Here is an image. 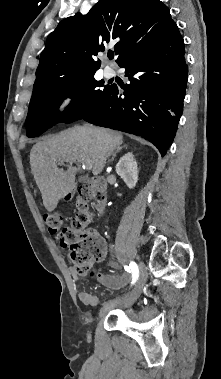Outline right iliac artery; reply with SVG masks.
<instances>
[{"label":"right iliac artery","instance_id":"82829eb1","mask_svg":"<svg viewBox=\"0 0 221 379\" xmlns=\"http://www.w3.org/2000/svg\"><path fill=\"white\" fill-rule=\"evenodd\" d=\"M128 269H129V272L132 273V284H134L137 281L138 277H139L138 265L135 262L132 261L130 263V267Z\"/></svg>","mask_w":221,"mask_h":379}]
</instances>
